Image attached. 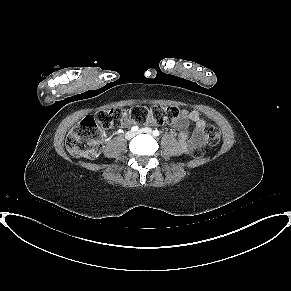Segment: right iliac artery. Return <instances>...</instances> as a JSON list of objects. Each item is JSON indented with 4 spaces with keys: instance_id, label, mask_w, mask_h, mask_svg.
Instances as JSON below:
<instances>
[{
    "instance_id": "82829eb1",
    "label": "right iliac artery",
    "mask_w": 291,
    "mask_h": 291,
    "mask_svg": "<svg viewBox=\"0 0 291 291\" xmlns=\"http://www.w3.org/2000/svg\"><path fill=\"white\" fill-rule=\"evenodd\" d=\"M138 129H139L138 126H133V127L131 128V131L135 132V131H137Z\"/></svg>"
}]
</instances>
